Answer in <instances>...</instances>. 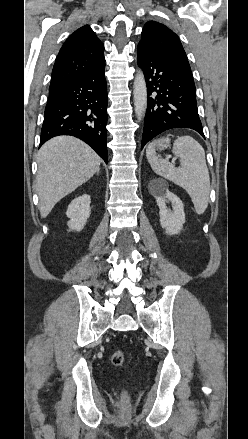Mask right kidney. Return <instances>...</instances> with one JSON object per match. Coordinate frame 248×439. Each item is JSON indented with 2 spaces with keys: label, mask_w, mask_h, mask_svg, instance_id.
I'll list each match as a JSON object with an SVG mask.
<instances>
[{
  "label": "right kidney",
  "mask_w": 248,
  "mask_h": 439,
  "mask_svg": "<svg viewBox=\"0 0 248 439\" xmlns=\"http://www.w3.org/2000/svg\"><path fill=\"white\" fill-rule=\"evenodd\" d=\"M91 199L88 194L76 197L68 205L66 215L70 218L68 227L71 231H81L90 217Z\"/></svg>",
  "instance_id": "right-kidney-1"
}]
</instances>
